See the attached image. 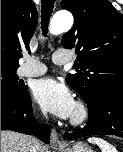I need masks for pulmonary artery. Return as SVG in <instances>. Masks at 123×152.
<instances>
[{"instance_id":"pulmonary-artery-1","label":"pulmonary artery","mask_w":123,"mask_h":152,"mask_svg":"<svg viewBox=\"0 0 123 152\" xmlns=\"http://www.w3.org/2000/svg\"><path fill=\"white\" fill-rule=\"evenodd\" d=\"M71 61V56L64 51H56L53 54V62L63 65ZM47 67L32 58L26 57L25 63L18 69V74L22 77H37L45 74Z\"/></svg>"}]
</instances>
